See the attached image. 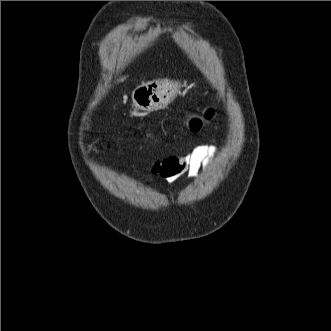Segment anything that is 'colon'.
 <instances>
[{
	"mask_svg": "<svg viewBox=\"0 0 331 331\" xmlns=\"http://www.w3.org/2000/svg\"><path fill=\"white\" fill-rule=\"evenodd\" d=\"M213 115V111L211 110H206L203 117H194L190 120L189 122V128L192 132H197L202 124V119H210Z\"/></svg>",
	"mask_w": 331,
	"mask_h": 331,
	"instance_id": "obj_1",
	"label": "colon"
}]
</instances>
